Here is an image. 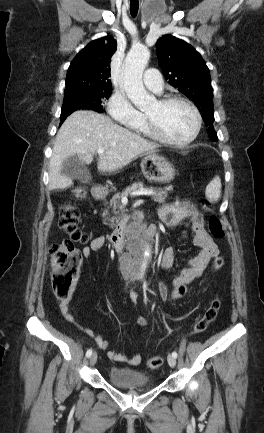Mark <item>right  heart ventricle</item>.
<instances>
[{
  "instance_id": "obj_1",
  "label": "right heart ventricle",
  "mask_w": 264,
  "mask_h": 433,
  "mask_svg": "<svg viewBox=\"0 0 264 433\" xmlns=\"http://www.w3.org/2000/svg\"><path fill=\"white\" fill-rule=\"evenodd\" d=\"M133 129L135 132L142 134L144 136H152L148 127H147L145 119H143V121L140 124H138L137 126H134Z\"/></svg>"
}]
</instances>
